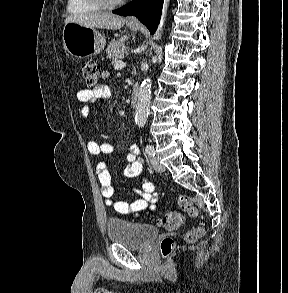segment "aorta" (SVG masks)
<instances>
[{"instance_id": "1", "label": "aorta", "mask_w": 288, "mask_h": 293, "mask_svg": "<svg viewBox=\"0 0 288 293\" xmlns=\"http://www.w3.org/2000/svg\"><path fill=\"white\" fill-rule=\"evenodd\" d=\"M169 3H170V0H164L160 24L155 34V39L157 40L161 38ZM150 101H151V80L148 77L142 82L138 92V102L136 106V115H135V123L138 127H143L147 121L149 108H150Z\"/></svg>"}]
</instances>
